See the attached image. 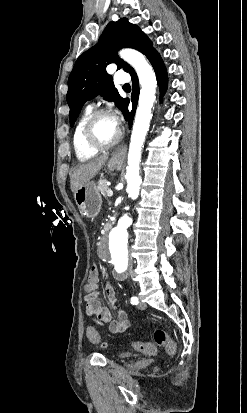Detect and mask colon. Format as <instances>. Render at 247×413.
<instances>
[{
  "instance_id": "5ec220e1",
  "label": "colon",
  "mask_w": 247,
  "mask_h": 413,
  "mask_svg": "<svg viewBox=\"0 0 247 413\" xmlns=\"http://www.w3.org/2000/svg\"><path fill=\"white\" fill-rule=\"evenodd\" d=\"M101 275L96 273V263L92 264V269L88 270V281L94 283L99 279ZM85 336L93 344H99L101 342L100 336L93 326H88L85 330ZM153 341L156 342L155 346H152L151 343L136 341L133 342L132 346L135 350L141 351L147 355H153L157 347H165L167 355H178L179 347L176 341L170 339L168 333L163 330H155L153 333Z\"/></svg>"
}]
</instances>
